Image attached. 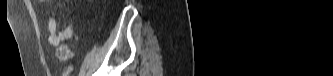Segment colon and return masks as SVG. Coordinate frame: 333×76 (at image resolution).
<instances>
[{"label":"colon","mask_w":333,"mask_h":76,"mask_svg":"<svg viewBox=\"0 0 333 76\" xmlns=\"http://www.w3.org/2000/svg\"><path fill=\"white\" fill-rule=\"evenodd\" d=\"M56 54L60 60H68L72 56V51L67 45H62L57 48Z\"/></svg>","instance_id":"5ec220e1"}]
</instances>
